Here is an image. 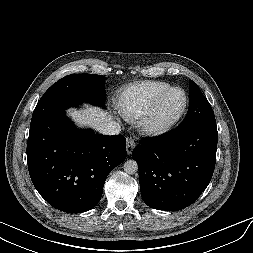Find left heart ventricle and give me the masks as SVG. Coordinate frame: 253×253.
<instances>
[{
    "mask_svg": "<svg viewBox=\"0 0 253 253\" xmlns=\"http://www.w3.org/2000/svg\"><path fill=\"white\" fill-rule=\"evenodd\" d=\"M184 103L182 93L173 92L168 95L159 105L154 120L157 123H164L174 118L181 110Z\"/></svg>",
    "mask_w": 253,
    "mask_h": 253,
    "instance_id": "b2bd125f",
    "label": "left heart ventricle"
}]
</instances>
